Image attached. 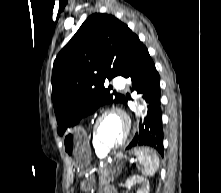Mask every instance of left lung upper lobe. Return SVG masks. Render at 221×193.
Listing matches in <instances>:
<instances>
[{
	"instance_id": "1",
	"label": "left lung upper lobe",
	"mask_w": 221,
	"mask_h": 193,
	"mask_svg": "<svg viewBox=\"0 0 221 193\" xmlns=\"http://www.w3.org/2000/svg\"><path fill=\"white\" fill-rule=\"evenodd\" d=\"M140 42L126 24L112 15L88 17L56 57L52 100L62 135L68 127L105 103H125L104 83L122 73Z\"/></svg>"
}]
</instances>
